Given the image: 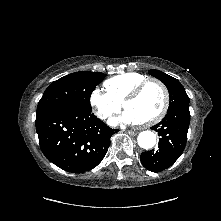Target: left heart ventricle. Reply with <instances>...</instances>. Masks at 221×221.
I'll list each match as a JSON object with an SVG mask.
<instances>
[{"instance_id": "1", "label": "left heart ventricle", "mask_w": 221, "mask_h": 221, "mask_svg": "<svg viewBox=\"0 0 221 221\" xmlns=\"http://www.w3.org/2000/svg\"><path fill=\"white\" fill-rule=\"evenodd\" d=\"M163 104V95L155 84L148 85L140 96L128 101L125 110L130 112L136 123L146 121L155 116Z\"/></svg>"}]
</instances>
